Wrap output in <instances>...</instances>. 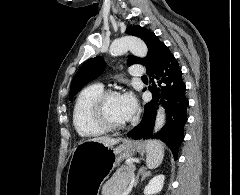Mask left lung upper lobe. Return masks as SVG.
Returning <instances> with one entry per match:
<instances>
[{
    "label": "left lung upper lobe",
    "mask_w": 240,
    "mask_h": 195,
    "mask_svg": "<svg viewBox=\"0 0 240 195\" xmlns=\"http://www.w3.org/2000/svg\"><path fill=\"white\" fill-rule=\"evenodd\" d=\"M126 33L128 35L141 38L148 47V54L145 58H138L129 55L127 65L136 63L142 64L146 67L147 74H149L171 54L168 47L162 43L154 33L145 27H128ZM105 67L106 63L100 56L87 60L73 78L70 87V100L84 85L100 76L103 73Z\"/></svg>",
    "instance_id": "5c2ea615"
}]
</instances>
